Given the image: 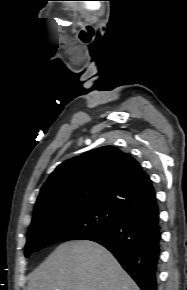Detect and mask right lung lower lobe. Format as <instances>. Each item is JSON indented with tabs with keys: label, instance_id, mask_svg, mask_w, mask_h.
Wrapping results in <instances>:
<instances>
[{
	"label": "right lung lower lobe",
	"instance_id": "98d812e1",
	"mask_svg": "<svg viewBox=\"0 0 187 290\" xmlns=\"http://www.w3.org/2000/svg\"><path fill=\"white\" fill-rule=\"evenodd\" d=\"M161 233L157 209L126 216L118 225L85 239L111 251L141 290H157Z\"/></svg>",
	"mask_w": 187,
	"mask_h": 290
}]
</instances>
